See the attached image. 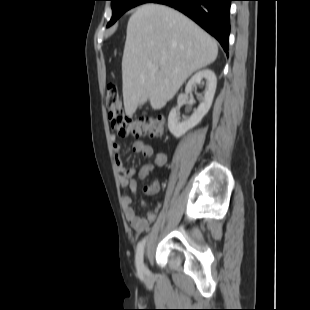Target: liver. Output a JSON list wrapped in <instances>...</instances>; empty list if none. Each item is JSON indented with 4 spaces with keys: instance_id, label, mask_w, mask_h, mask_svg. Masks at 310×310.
<instances>
[{
    "instance_id": "6515ba94",
    "label": "liver",
    "mask_w": 310,
    "mask_h": 310,
    "mask_svg": "<svg viewBox=\"0 0 310 310\" xmlns=\"http://www.w3.org/2000/svg\"><path fill=\"white\" fill-rule=\"evenodd\" d=\"M217 55L216 41L180 12L153 3L140 6L128 21L122 58L126 115L131 117L147 99L152 109L163 108L192 73Z\"/></svg>"
}]
</instances>
